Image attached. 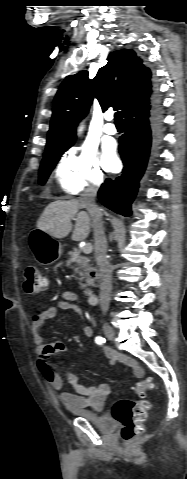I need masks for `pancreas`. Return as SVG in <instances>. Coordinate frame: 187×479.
Instances as JSON below:
<instances>
[{
	"label": "pancreas",
	"mask_w": 187,
	"mask_h": 479,
	"mask_svg": "<svg viewBox=\"0 0 187 479\" xmlns=\"http://www.w3.org/2000/svg\"><path fill=\"white\" fill-rule=\"evenodd\" d=\"M68 260L66 261L67 266H71L76 274L80 275V281H85L81 283V288L85 289L84 293L88 294V286L93 285L94 278L90 275L92 266L90 264V259L84 255H78V249L73 248L72 251L67 253Z\"/></svg>",
	"instance_id": "pancreas-1"
}]
</instances>
